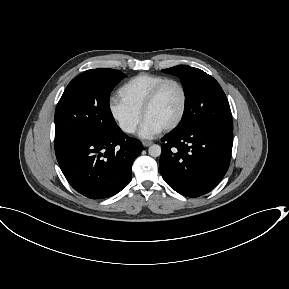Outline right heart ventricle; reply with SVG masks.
I'll return each instance as SVG.
<instances>
[{
	"mask_svg": "<svg viewBox=\"0 0 289 289\" xmlns=\"http://www.w3.org/2000/svg\"><path fill=\"white\" fill-rule=\"evenodd\" d=\"M164 79H166L165 76L157 74H138L118 89L117 96L125 105L141 113L142 105L149 92Z\"/></svg>",
	"mask_w": 289,
	"mask_h": 289,
	"instance_id": "obj_1",
	"label": "right heart ventricle"
}]
</instances>
